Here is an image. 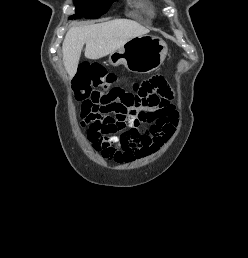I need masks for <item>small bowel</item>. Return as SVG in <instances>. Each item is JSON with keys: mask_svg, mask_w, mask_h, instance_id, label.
<instances>
[{"mask_svg": "<svg viewBox=\"0 0 248 258\" xmlns=\"http://www.w3.org/2000/svg\"><path fill=\"white\" fill-rule=\"evenodd\" d=\"M131 120L123 129L90 139L101 156L115 163H129L155 154L175 132L178 116L167 83L153 77L144 81L138 92L115 89L111 92ZM83 117L85 112L82 109ZM84 125L88 128L85 118ZM111 134V135H109Z\"/></svg>", "mask_w": 248, "mask_h": 258, "instance_id": "c3829d8e", "label": "small bowel"}]
</instances>
